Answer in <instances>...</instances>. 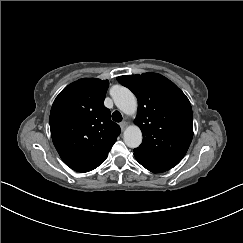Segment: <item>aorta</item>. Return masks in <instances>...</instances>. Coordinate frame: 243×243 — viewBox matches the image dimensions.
<instances>
[{"mask_svg": "<svg viewBox=\"0 0 243 243\" xmlns=\"http://www.w3.org/2000/svg\"><path fill=\"white\" fill-rule=\"evenodd\" d=\"M115 86L110 90L115 105L127 116H135L138 110V102L135 95L125 87H119L115 92ZM123 139L127 146L138 147L142 142V131L137 125H130L124 129Z\"/></svg>", "mask_w": 243, "mask_h": 243, "instance_id": "aorta-1", "label": "aorta"}]
</instances>
